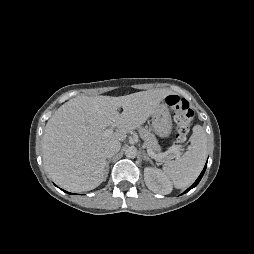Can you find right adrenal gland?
I'll return each mask as SVG.
<instances>
[{"label":"right adrenal gland","instance_id":"right-adrenal-gland-1","mask_svg":"<svg viewBox=\"0 0 254 254\" xmlns=\"http://www.w3.org/2000/svg\"><path fill=\"white\" fill-rule=\"evenodd\" d=\"M111 162V159H109L107 162H106V167H105V178L107 177L108 173H109V164Z\"/></svg>","mask_w":254,"mask_h":254}]
</instances>
